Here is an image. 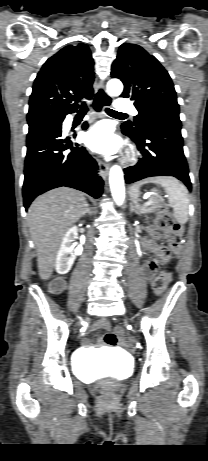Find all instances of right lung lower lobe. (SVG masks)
Segmentation results:
<instances>
[{
	"label": "right lung lower lobe",
	"mask_w": 208,
	"mask_h": 461,
	"mask_svg": "<svg viewBox=\"0 0 208 461\" xmlns=\"http://www.w3.org/2000/svg\"><path fill=\"white\" fill-rule=\"evenodd\" d=\"M64 118L27 135L23 183L26 210L36 196L61 186L81 190L94 198L102 194L98 165L84 147L73 144L70 137H63ZM82 127L87 129V122Z\"/></svg>",
	"instance_id": "1"
}]
</instances>
